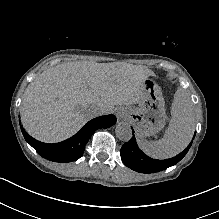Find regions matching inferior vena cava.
<instances>
[{"instance_id": "obj_1", "label": "inferior vena cava", "mask_w": 219, "mask_h": 219, "mask_svg": "<svg viewBox=\"0 0 219 219\" xmlns=\"http://www.w3.org/2000/svg\"><path fill=\"white\" fill-rule=\"evenodd\" d=\"M90 110L92 112V115L97 118L103 117L105 114L108 113L106 112L105 106L100 103L91 105Z\"/></svg>"}]
</instances>
